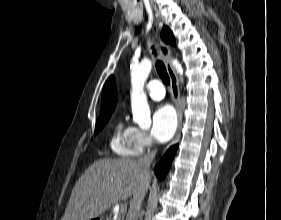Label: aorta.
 <instances>
[{"instance_id":"obj_1","label":"aorta","mask_w":281,"mask_h":220,"mask_svg":"<svg viewBox=\"0 0 281 220\" xmlns=\"http://www.w3.org/2000/svg\"><path fill=\"white\" fill-rule=\"evenodd\" d=\"M172 64L177 73H183L182 66L176 59L172 61ZM151 68V61L149 59H144L139 64L133 66L131 70V108L133 121L143 128H147L151 125L150 108L144 92V84Z\"/></svg>"}]
</instances>
